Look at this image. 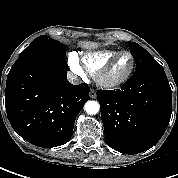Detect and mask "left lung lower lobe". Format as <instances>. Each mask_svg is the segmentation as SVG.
Returning a JSON list of instances; mask_svg holds the SVG:
<instances>
[{"label": "left lung lower lobe", "mask_w": 178, "mask_h": 178, "mask_svg": "<svg viewBox=\"0 0 178 178\" xmlns=\"http://www.w3.org/2000/svg\"><path fill=\"white\" fill-rule=\"evenodd\" d=\"M105 137L111 148L136 154L163 136L172 112V91L162 67L133 74L116 90H98Z\"/></svg>", "instance_id": "left-lung-lower-lobe-1"}]
</instances>
